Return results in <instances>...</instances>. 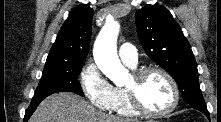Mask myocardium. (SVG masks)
I'll return each mask as SVG.
<instances>
[{"label": "myocardium", "instance_id": "f54148a6", "mask_svg": "<svg viewBox=\"0 0 221 122\" xmlns=\"http://www.w3.org/2000/svg\"><path fill=\"white\" fill-rule=\"evenodd\" d=\"M151 73H158L161 74L169 83L171 90H172V102L170 106L162 111H152L148 109L141 101L139 94H138V84L149 74ZM133 85L126 87V92L128 95V98L130 100L131 105L133 108L142 115L148 116V117H164L169 114H171L178 106L179 100H180V93L178 85L173 78V76L167 72L165 69L156 67V66H150L145 67L142 69H139L134 72L133 76Z\"/></svg>", "mask_w": 221, "mask_h": 122}]
</instances>
